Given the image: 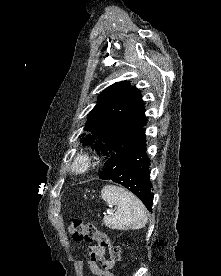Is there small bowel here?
<instances>
[{"label": "small bowel", "instance_id": "c3829d8e", "mask_svg": "<svg viewBox=\"0 0 221 276\" xmlns=\"http://www.w3.org/2000/svg\"><path fill=\"white\" fill-rule=\"evenodd\" d=\"M89 268L96 276H114L107 266L108 258L104 249L97 246H91L89 250Z\"/></svg>", "mask_w": 221, "mask_h": 276}]
</instances>
